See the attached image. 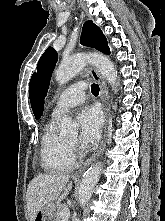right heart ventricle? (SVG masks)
I'll return each mask as SVG.
<instances>
[{"mask_svg":"<svg viewBox=\"0 0 165 221\" xmlns=\"http://www.w3.org/2000/svg\"><path fill=\"white\" fill-rule=\"evenodd\" d=\"M40 161L42 168L51 173L67 172L75 165V154L67 140L57 133L54 120H51L44 128Z\"/></svg>","mask_w":165,"mask_h":221,"instance_id":"1","label":"right heart ventricle"}]
</instances>
